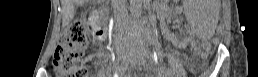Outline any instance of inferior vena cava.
<instances>
[{
  "label": "inferior vena cava",
  "mask_w": 258,
  "mask_h": 77,
  "mask_svg": "<svg viewBox=\"0 0 258 77\" xmlns=\"http://www.w3.org/2000/svg\"><path fill=\"white\" fill-rule=\"evenodd\" d=\"M114 12L119 23L123 22L128 17V12L125 6V0H115Z\"/></svg>",
  "instance_id": "inferior-vena-cava-1"
}]
</instances>
